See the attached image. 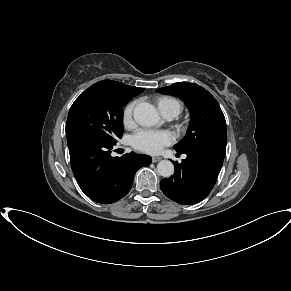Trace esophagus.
I'll list each match as a JSON object with an SVG mask.
<instances>
[{
	"label": "esophagus",
	"mask_w": 291,
	"mask_h": 291,
	"mask_svg": "<svg viewBox=\"0 0 291 291\" xmlns=\"http://www.w3.org/2000/svg\"><path fill=\"white\" fill-rule=\"evenodd\" d=\"M161 159H162V157H160V156H153L152 157V162L156 163V162L160 161Z\"/></svg>",
	"instance_id": "34e87169"
}]
</instances>
